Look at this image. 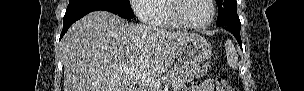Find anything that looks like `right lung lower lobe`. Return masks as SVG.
I'll return each instance as SVG.
<instances>
[{
    "mask_svg": "<svg viewBox=\"0 0 304 91\" xmlns=\"http://www.w3.org/2000/svg\"><path fill=\"white\" fill-rule=\"evenodd\" d=\"M109 11L117 14L111 3L104 0H72L70 1L64 19L63 30L60 35V39L67 32L68 28L77 20L85 16L86 14L97 11Z\"/></svg>",
    "mask_w": 304,
    "mask_h": 91,
    "instance_id": "right-lung-lower-lobe-1",
    "label": "right lung lower lobe"
}]
</instances>
